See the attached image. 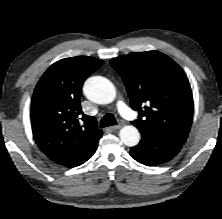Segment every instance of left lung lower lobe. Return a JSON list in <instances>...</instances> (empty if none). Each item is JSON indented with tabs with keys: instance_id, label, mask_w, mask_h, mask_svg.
Listing matches in <instances>:
<instances>
[{
	"instance_id": "0a47b994",
	"label": "left lung lower lobe",
	"mask_w": 222,
	"mask_h": 219,
	"mask_svg": "<svg viewBox=\"0 0 222 219\" xmlns=\"http://www.w3.org/2000/svg\"><path fill=\"white\" fill-rule=\"evenodd\" d=\"M142 139L132 147L130 155L136 161L147 166H156L171 160L182 148V145L172 140L139 129Z\"/></svg>"
}]
</instances>
